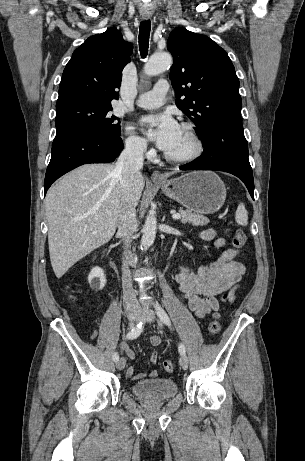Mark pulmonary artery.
I'll use <instances>...</instances> for the list:
<instances>
[{"mask_svg": "<svg viewBox=\"0 0 305 461\" xmlns=\"http://www.w3.org/2000/svg\"><path fill=\"white\" fill-rule=\"evenodd\" d=\"M169 90V83L162 79L155 83L152 90L140 95L136 104L142 108H156L162 105L165 101V96Z\"/></svg>", "mask_w": 305, "mask_h": 461, "instance_id": "pulmonary-artery-1", "label": "pulmonary artery"}]
</instances>
